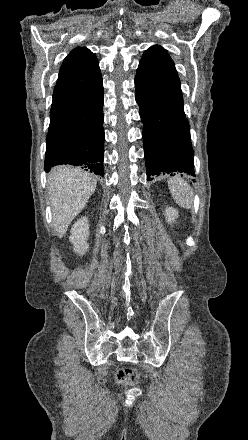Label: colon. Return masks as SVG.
Masks as SVG:
<instances>
[{
	"mask_svg": "<svg viewBox=\"0 0 248 440\" xmlns=\"http://www.w3.org/2000/svg\"><path fill=\"white\" fill-rule=\"evenodd\" d=\"M116 379L119 382H135L137 379L136 372L130 368H121L116 373Z\"/></svg>",
	"mask_w": 248,
	"mask_h": 440,
	"instance_id": "colon-1",
	"label": "colon"
}]
</instances>
